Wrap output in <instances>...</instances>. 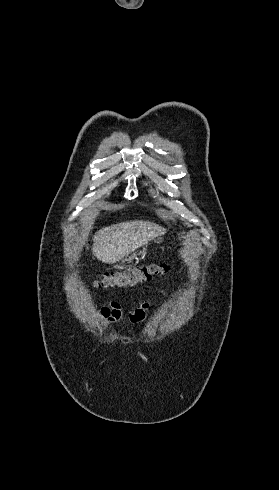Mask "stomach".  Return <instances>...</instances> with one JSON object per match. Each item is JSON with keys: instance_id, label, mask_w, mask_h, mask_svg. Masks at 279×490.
Wrapping results in <instances>:
<instances>
[{"instance_id": "obj_1", "label": "stomach", "mask_w": 279, "mask_h": 490, "mask_svg": "<svg viewBox=\"0 0 279 490\" xmlns=\"http://www.w3.org/2000/svg\"><path fill=\"white\" fill-rule=\"evenodd\" d=\"M133 260H137V252H134V254H130V256H127L126 260L124 262H127V264H131Z\"/></svg>"}]
</instances>
